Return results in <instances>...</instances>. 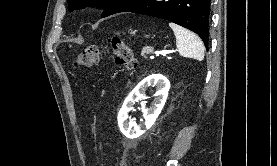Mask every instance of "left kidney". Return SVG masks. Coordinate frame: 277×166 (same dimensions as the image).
<instances>
[{"label": "left kidney", "instance_id": "obj_1", "mask_svg": "<svg viewBox=\"0 0 277 166\" xmlns=\"http://www.w3.org/2000/svg\"><path fill=\"white\" fill-rule=\"evenodd\" d=\"M149 87H155L156 93L151 108L147 109L142 105V112L145 121L139 125L135 122L128 121L129 112L133 109L134 103L143 99L145 95L144 92ZM169 89V80L161 74H152L143 79L127 96L118 113V126L121 133L127 138L134 139L140 137L150 129L165 105Z\"/></svg>", "mask_w": 277, "mask_h": 166}]
</instances>
